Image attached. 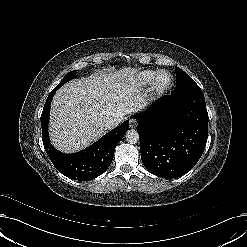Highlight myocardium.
Segmentation results:
<instances>
[{"instance_id":"f54148a6","label":"myocardium","mask_w":247,"mask_h":247,"mask_svg":"<svg viewBox=\"0 0 247 247\" xmlns=\"http://www.w3.org/2000/svg\"><path fill=\"white\" fill-rule=\"evenodd\" d=\"M173 84L172 76L166 71H159L150 86L151 95H163Z\"/></svg>"}]
</instances>
